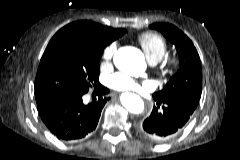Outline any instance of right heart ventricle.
<instances>
[{
	"label": "right heart ventricle",
	"instance_id": "obj_1",
	"mask_svg": "<svg viewBox=\"0 0 240 160\" xmlns=\"http://www.w3.org/2000/svg\"><path fill=\"white\" fill-rule=\"evenodd\" d=\"M149 61H160L167 52V42L163 36L155 32H144L138 37Z\"/></svg>",
	"mask_w": 240,
	"mask_h": 160
}]
</instances>
